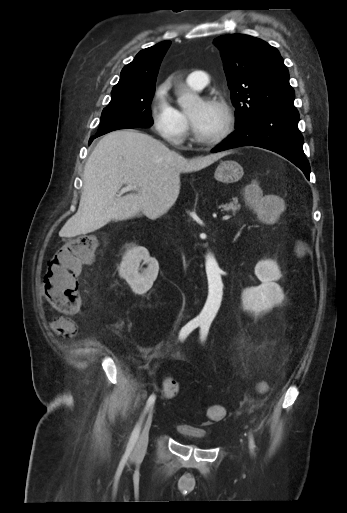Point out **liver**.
Wrapping results in <instances>:
<instances>
[{
	"label": "liver",
	"instance_id": "liver-1",
	"mask_svg": "<svg viewBox=\"0 0 347 513\" xmlns=\"http://www.w3.org/2000/svg\"><path fill=\"white\" fill-rule=\"evenodd\" d=\"M230 152L187 160L162 142L137 130H116L101 138L88 158L79 208L62 227L61 237L87 234L110 221L140 214L157 219L165 202L175 203L180 173L200 170ZM123 184L136 188L120 196Z\"/></svg>",
	"mask_w": 347,
	"mask_h": 513
}]
</instances>
